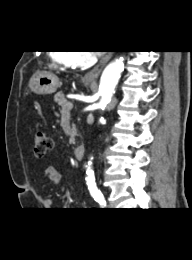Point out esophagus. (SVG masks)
I'll return each instance as SVG.
<instances>
[{
    "instance_id": "1",
    "label": "esophagus",
    "mask_w": 192,
    "mask_h": 260,
    "mask_svg": "<svg viewBox=\"0 0 192 260\" xmlns=\"http://www.w3.org/2000/svg\"><path fill=\"white\" fill-rule=\"evenodd\" d=\"M111 57H112V53H108L107 55H105L92 70H90L85 74L84 78L86 80L97 79Z\"/></svg>"
}]
</instances>
